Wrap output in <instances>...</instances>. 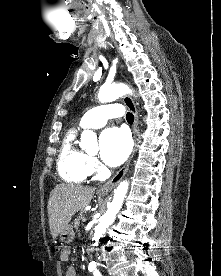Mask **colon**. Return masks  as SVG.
Segmentation results:
<instances>
[{
  "instance_id": "colon-1",
  "label": "colon",
  "mask_w": 221,
  "mask_h": 276,
  "mask_svg": "<svg viewBox=\"0 0 221 276\" xmlns=\"http://www.w3.org/2000/svg\"><path fill=\"white\" fill-rule=\"evenodd\" d=\"M54 251H60V253L62 254L64 251H67V245L66 244H55Z\"/></svg>"
}]
</instances>
